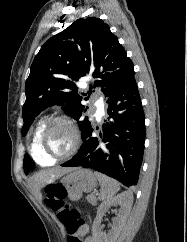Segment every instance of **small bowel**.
Returning a JSON list of instances; mask_svg holds the SVG:
<instances>
[{"instance_id":"obj_1","label":"small bowel","mask_w":187,"mask_h":242,"mask_svg":"<svg viewBox=\"0 0 187 242\" xmlns=\"http://www.w3.org/2000/svg\"><path fill=\"white\" fill-rule=\"evenodd\" d=\"M89 231V227L87 225H84L79 230V235L84 237ZM84 242H92L91 239H86Z\"/></svg>"}]
</instances>
